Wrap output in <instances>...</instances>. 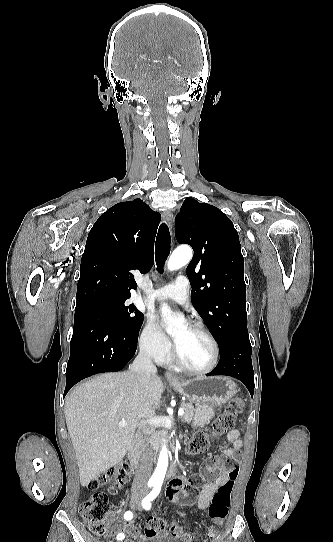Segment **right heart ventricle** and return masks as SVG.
<instances>
[{
  "label": "right heart ventricle",
  "instance_id": "1",
  "mask_svg": "<svg viewBox=\"0 0 333 542\" xmlns=\"http://www.w3.org/2000/svg\"><path fill=\"white\" fill-rule=\"evenodd\" d=\"M159 361L162 363H167L169 361L168 357L166 355L159 358Z\"/></svg>",
  "mask_w": 333,
  "mask_h": 542
}]
</instances>
